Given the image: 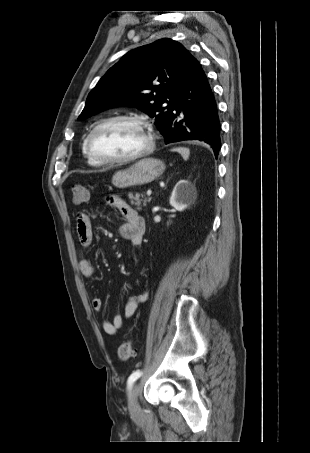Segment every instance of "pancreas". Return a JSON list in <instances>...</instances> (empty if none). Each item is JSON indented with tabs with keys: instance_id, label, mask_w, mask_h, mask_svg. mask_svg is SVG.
I'll return each mask as SVG.
<instances>
[{
	"instance_id": "cf45deb5",
	"label": "pancreas",
	"mask_w": 310,
	"mask_h": 453,
	"mask_svg": "<svg viewBox=\"0 0 310 453\" xmlns=\"http://www.w3.org/2000/svg\"><path fill=\"white\" fill-rule=\"evenodd\" d=\"M128 197L131 204L137 206L138 210H141V204H143V206H146L147 202H150L151 200V198L145 197L142 193H136L135 195H133V193H129Z\"/></svg>"
}]
</instances>
